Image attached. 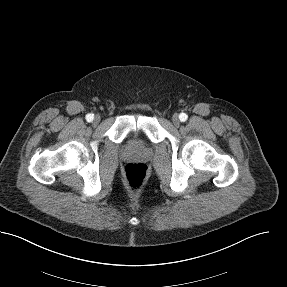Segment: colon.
<instances>
[{
    "mask_svg": "<svg viewBox=\"0 0 287 287\" xmlns=\"http://www.w3.org/2000/svg\"><path fill=\"white\" fill-rule=\"evenodd\" d=\"M123 177L133 192H138L148 177V167L143 163H128L123 168Z\"/></svg>",
    "mask_w": 287,
    "mask_h": 287,
    "instance_id": "5ec220e1",
    "label": "colon"
}]
</instances>
